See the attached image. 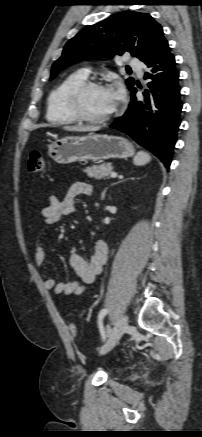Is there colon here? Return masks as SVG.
Listing matches in <instances>:
<instances>
[{"mask_svg": "<svg viewBox=\"0 0 202 437\" xmlns=\"http://www.w3.org/2000/svg\"><path fill=\"white\" fill-rule=\"evenodd\" d=\"M45 168V162L43 155L40 151L34 150L31 152L28 160V170L31 173H42ZM68 330L71 336L76 337L78 335L77 326L74 323L68 325Z\"/></svg>", "mask_w": 202, "mask_h": 437, "instance_id": "5ec220e1", "label": "colon"}]
</instances>
